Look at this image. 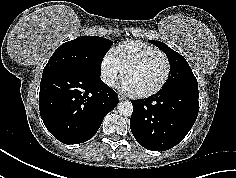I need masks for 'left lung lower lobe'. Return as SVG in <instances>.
Returning <instances> with one entry per match:
<instances>
[{"label":"left lung lower lobe","mask_w":236,"mask_h":178,"mask_svg":"<svg viewBox=\"0 0 236 178\" xmlns=\"http://www.w3.org/2000/svg\"><path fill=\"white\" fill-rule=\"evenodd\" d=\"M198 94V88H163L147 99L131 101L130 128L137 142L152 151L176 146L195 123Z\"/></svg>","instance_id":"1"}]
</instances>
